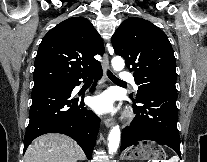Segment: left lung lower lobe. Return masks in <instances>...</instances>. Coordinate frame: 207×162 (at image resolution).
I'll return each mask as SVG.
<instances>
[{"label": "left lung lower lobe", "instance_id": "0a47b994", "mask_svg": "<svg viewBox=\"0 0 207 162\" xmlns=\"http://www.w3.org/2000/svg\"><path fill=\"white\" fill-rule=\"evenodd\" d=\"M136 118L122 131L121 151L138 141L150 140L172 148L179 156L180 138L177 130V93L148 91L140 98L131 97Z\"/></svg>", "mask_w": 207, "mask_h": 162}]
</instances>
